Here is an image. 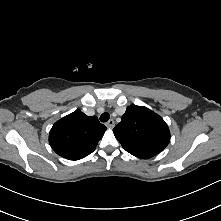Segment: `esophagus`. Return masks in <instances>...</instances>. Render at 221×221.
<instances>
[{"instance_id": "1", "label": "esophagus", "mask_w": 221, "mask_h": 221, "mask_svg": "<svg viewBox=\"0 0 221 221\" xmlns=\"http://www.w3.org/2000/svg\"><path fill=\"white\" fill-rule=\"evenodd\" d=\"M115 125V122L113 119H110L107 123H106V126L110 129H112Z\"/></svg>"}]
</instances>
